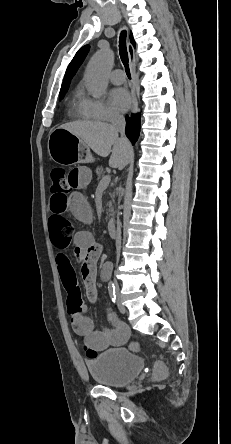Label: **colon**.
<instances>
[{
  "label": "colon",
  "instance_id": "obj_1",
  "mask_svg": "<svg viewBox=\"0 0 231 444\" xmlns=\"http://www.w3.org/2000/svg\"><path fill=\"white\" fill-rule=\"evenodd\" d=\"M70 191V187L67 182V172L61 166H55L51 170V193L53 197L64 198ZM86 349V355L92 358L97 355V352L88 347ZM165 369L161 363H157L155 366L154 374L156 377L164 375Z\"/></svg>",
  "mask_w": 231,
  "mask_h": 444
}]
</instances>
